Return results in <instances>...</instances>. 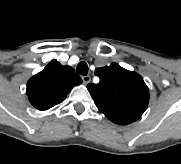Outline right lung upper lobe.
Instances as JSON below:
<instances>
[{
    "mask_svg": "<svg viewBox=\"0 0 181 164\" xmlns=\"http://www.w3.org/2000/svg\"><path fill=\"white\" fill-rule=\"evenodd\" d=\"M82 79L73 68L52 60L41 72L27 82L30 103L38 110H47L61 103Z\"/></svg>",
    "mask_w": 181,
    "mask_h": 164,
    "instance_id": "obj_1",
    "label": "right lung upper lobe"
}]
</instances>
